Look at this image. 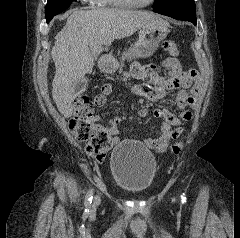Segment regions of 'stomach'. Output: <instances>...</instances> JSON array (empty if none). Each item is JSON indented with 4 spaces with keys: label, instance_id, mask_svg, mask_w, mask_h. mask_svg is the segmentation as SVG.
Returning <instances> with one entry per match:
<instances>
[{
    "label": "stomach",
    "instance_id": "0dacf381",
    "mask_svg": "<svg viewBox=\"0 0 240 238\" xmlns=\"http://www.w3.org/2000/svg\"><path fill=\"white\" fill-rule=\"evenodd\" d=\"M168 33L169 24L163 20L144 26L140 29L138 40L127 53V57L133 59L135 57L146 58L153 55L160 42L166 38ZM99 66L102 71L112 73L117 69L118 62L115 59L100 61Z\"/></svg>",
    "mask_w": 240,
    "mask_h": 238
}]
</instances>
